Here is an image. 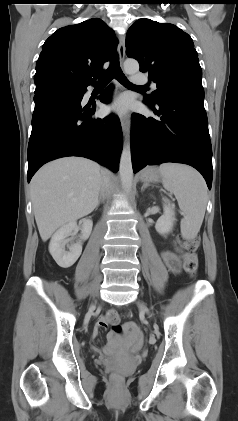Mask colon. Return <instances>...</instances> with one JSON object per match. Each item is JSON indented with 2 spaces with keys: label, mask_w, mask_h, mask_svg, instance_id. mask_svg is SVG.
Returning a JSON list of instances; mask_svg holds the SVG:
<instances>
[{
  "label": "colon",
  "mask_w": 238,
  "mask_h": 421,
  "mask_svg": "<svg viewBox=\"0 0 238 421\" xmlns=\"http://www.w3.org/2000/svg\"><path fill=\"white\" fill-rule=\"evenodd\" d=\"M181 242L185 248L183 254V266L187 273L194 275L198 268V257L196 251L200 246V238L196 235L194 236H181ZM120 319L117 313H114L110 316V324L112 325L113 332L118 337L124 336V329L119 324ZM111 381L114 386L118 387L121 385L123 378L121 375L114 373L111 376Z\"/></svg>",
  "instance_id": "5ec220e1"
}]
</instances>
